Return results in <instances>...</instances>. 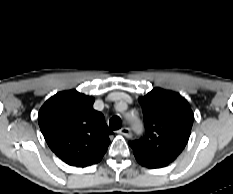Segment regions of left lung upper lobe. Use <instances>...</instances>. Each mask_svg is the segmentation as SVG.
<instances>
[{"label":"left lung upper lobe","instance_id":"5c2ea615","mask_svg":"<svg viewBox=\"0 0 233 194\" xmlns=\"http://www.w3.org/2000/svg\"><path fill=\"white\" fill-rule=\"evenodd\" d=\"M146 133L129 142L137 159L170 164L186 146L194 120L189 103L178 93L154 88L140 97Z\"/></svg>","mask_w":233,"mask_h":194}]
</instances>
